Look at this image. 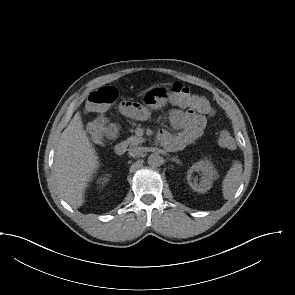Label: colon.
<instances>
[{"label": "colon", "mask_w": 295, "mask_h": 295, "mask_svg": "<svg viewBox=\"0 0 295 295\" xmlns=\"http://www.w3.org/2000/svg\"><path fill=\"white\" fill-rule=\"evenodd\" d=\"M171 90L172 100H175L177 103L193 108L201 114H212V106L203 95L192 92L179 82L173 83ZM117 97V89L107 86L92 92L87 99L86 110L98 115L89 127L90 137L96 144H103L106 140L108 134L106 115L109 108L117 100ZM218 143L221 147L229 150L236 147V142L231 132L225 129L220 131Z\"/></svg>", "instance_id": "colon-1"}]
</instances>
